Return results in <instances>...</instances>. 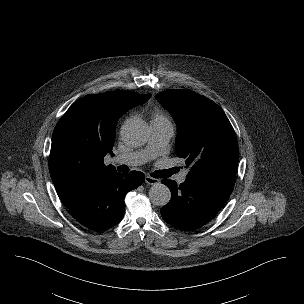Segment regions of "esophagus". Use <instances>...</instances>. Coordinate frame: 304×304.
Instances as JSON below:
<instances>
[{"label": "esophagus", "mask_w": 304, "mask_h": 304, "mask_svg": "<svg viewBox=\"0 0 304 304\" xmlns=\"http://www.w3.org/2000/svg\"><path fill=\"white\" fill-rule=\"evenodd\" d=\"M145 182L149 185H155L159 183V179L153 178L151 176H145Z\"/></svg>", "instance_id": "34e87169"}]
</instances>
